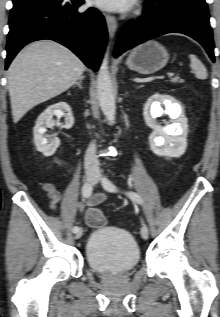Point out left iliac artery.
<instances>
[{"label":"left iliac artery","mask_w":220,"mask_h":317,"mask_svg":"<svg viewBox=\"0 0 220 317\" xmlns=\"http://www.w3.org/2000/svg\"><path fill=\"white\" fill-rule=\"evenodd\" d=\"M102 185L109 192H117L118 190L117 187L107 177H103ZM127 195L133 202H136L138 204L142 203V199L137 193L127 192Z\"/></svg>","instance_id":"obj_1"}]
</instances>
